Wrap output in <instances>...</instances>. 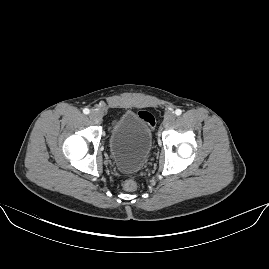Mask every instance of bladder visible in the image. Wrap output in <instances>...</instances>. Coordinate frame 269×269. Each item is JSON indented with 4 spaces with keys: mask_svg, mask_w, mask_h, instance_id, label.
<instances>
[{
    "mask_svg": "<svg viewBox=\"0 0 269 269\" xmlns=\"http://www.w3.org/2000/svg\"><path fill=\"white\" fill-rule=\"evenodd\" d=\"M153 130L144 116L126 110L118 116L108 133V151L118 170L132 173L141 169L150 157Z\"/></svg>",
    "mask_w": 269,
    "mask_h": 269,
    "instance_id": "bladder-1",
    "label": "bladder"
}]
</instances>
